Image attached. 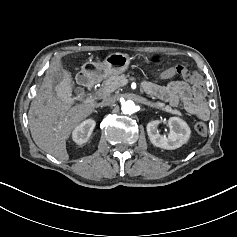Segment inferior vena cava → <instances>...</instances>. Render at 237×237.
Segmentation results:
<instances>
[{"mask_svg": "<svg viewBox=\"0 0 237 237\" xmlns=\"http://www.w3.org/2000/svg\"><path fill=\"white\" fill-rule=\"evenodd\" d=\"M116 102V97L114 96H106L103 100H102V105L103 106H110L115 104Z\"/></svg>", "mask_w": 237, "mask_h": 237, "instance_id": "602c4592", "label": "inferior vena cava"}]
</instances>
